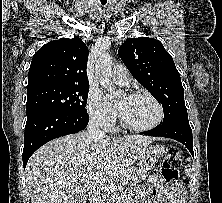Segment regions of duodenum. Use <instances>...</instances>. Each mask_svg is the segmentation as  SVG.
Masks as SVG:
<instances>
[{
  "mask_svg": "<svg viewBox=\"0 0 222 203\" xmlns=\"http://www.w3.org/2000/svg\"><path fill=\"white\" fill-rule=\"evenodd\" d=\"M90 203H95V199L94 198L91 199Z\"/></svg>",
  "mask_w": 222,
  "mask_h": 203,
  "instance_id": "410a0bca",
  "label": "duodenum"
}]
</instances>
